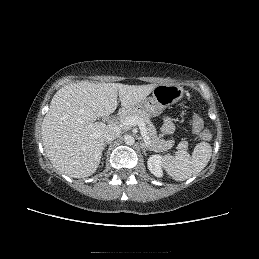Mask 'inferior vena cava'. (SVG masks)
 <instances>
[{
	"mask_svg": "<svg viewBox=\"0 0 259 259\" xmlns=\"http://www.w3.org/2000/svg\"><path fill=\"white\" fill-rule=\"evenodd\" d=\"M121 129L118 126L109 125L106 127L103 136L106 142H110L119 137Z\"/></svg>",
	"mask_w": 259,
	"mask_h": 259,
	"instance_id": "602c4592",
	"label": "inferior vena cava"
}]
</instances>
